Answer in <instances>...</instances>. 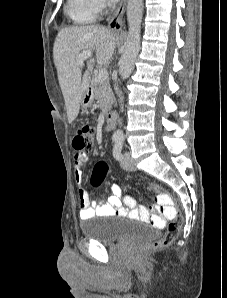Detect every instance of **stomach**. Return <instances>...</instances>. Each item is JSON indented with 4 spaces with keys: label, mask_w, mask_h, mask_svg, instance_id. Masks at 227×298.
Returning <instances> with one entry per match:
<instances>
[{
    "label": "stomach",
    "mask_w": 227,
    "mask_h": 298,
    "mask_svg": "<svg viewBox=\"0 0 227 298\" xmlns=\"http://www.w3.org/2000/svg\"><path fill=\"white\" fill-rule=\"evenodd\" d=\"M93 94L89 91V89L84 93L82 100H81V106L83 109H88L91 107L93 103Z\"/></svg>",
    "instance_id": "0dacf381"
}]
</instances>
